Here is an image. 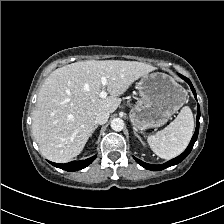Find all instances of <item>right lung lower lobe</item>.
I'll return each instance as SVG.
<instances>
[{
  "mask_svg": "<svg viewBox=\"0 0 224 224\" xmlns=\"http://www.w3.org/2000/svg\"><path fill=\"white\" fill-rule=\"evenodd\" d=\"M96 158V156H93L91 158H88L86 160H81V161H72L66 164H57V163H53L50 162L53 166L61 168L63 170L66 171H78L81 170L85 167H87L89 164H91L94 159Z\"/></svg>",
  "mask_w": 224,
  "mask_h": 224,
  "instance_id": "1",
  "label": "right lung lower lobe"
}]
</instances>
